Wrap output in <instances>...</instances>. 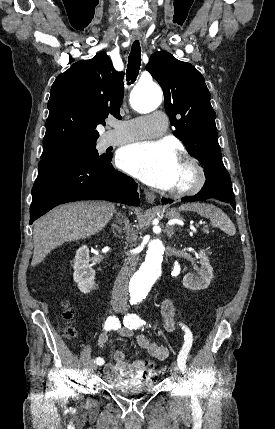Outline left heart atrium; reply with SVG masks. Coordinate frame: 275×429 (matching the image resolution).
Segmentation results:
<instances>
[{"mask_svg": "<svg viewBox=\"0 0 275 429\" xmlns=\"http://www.w3.org/2000/svg\"><path fill=\"white\" fill-rule=\"evenodd\" d=\"M121 169L160 189H171L178 158L173 147L164 141H141L126 145L117 155Z\"/></svg>", "mask_w": 275, "mask_h": 429, "instance_id": "obj_1", "label": "left heart atrium"}]
</instances>
